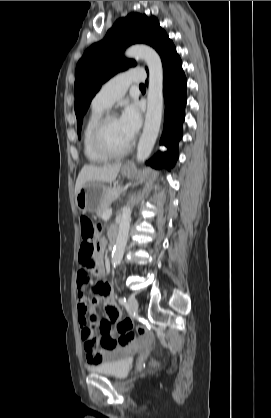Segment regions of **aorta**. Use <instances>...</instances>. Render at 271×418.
<instances>
[{"label": "aorta", "instance_id": "762f6f07", "mask_svg": "<svg viewBox=\"0 0 271 418\" xmlns=\"http://www.w3.org/2000/svg\"><path fill=\"white\" fill-rule=\"evenodd\" d=\"M125 55L129 58H138L145 61L149 70V84L147 93V112L140 137L136 159L142 163L150 156L156 142L162 121L163 111V66L158 53L146 45H134L128 48ZM131 220V208L126 205L122 208L118 236L112 252V265L120 264L128 240Z\"/></svg>", "mask_w": 271, "mask_h": 418}]
</instances>
